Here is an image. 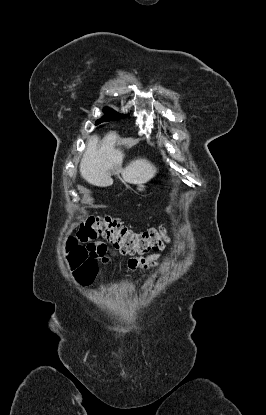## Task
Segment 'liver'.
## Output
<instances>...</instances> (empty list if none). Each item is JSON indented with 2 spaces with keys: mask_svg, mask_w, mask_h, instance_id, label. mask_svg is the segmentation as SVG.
Masks as SVG:
<instances>
[{
  "mask_svg": "<svg viewBox=\"0 0 266 415\" xmlns=\"http://www.w3.org/2000/svg\"><path fill=\"white\" fill-rule=\"evenodd\" d=\"M118 139L116 132H109L98 145L97 135L91 136L86 144V150L80 163V174L94 186L106 187L113 184L112 174L120 171L125 182L144 184L157 173L156 167L144 158L132 160L122 168L124 153L115 149Z\"/></svg>",
  "mask_w": 266,
  "mask_h": 415,
  "instance_id": "1",
  "label": "liver"
}]
</instances>
